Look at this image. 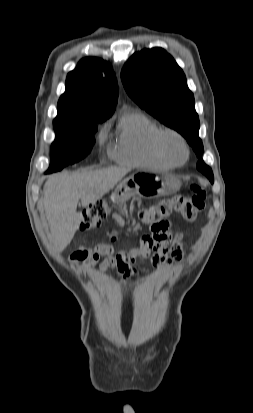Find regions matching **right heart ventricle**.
I'll list each match as a JSON object with an SVG mask.
<instances>
[{"mask_svg": "<svg viewBox=\"0 0 253 413\" xmlns=\"http://www.w3.org/2000/svg\"><path fill=\"white\" fill-rule=\"evenodd\" d=\"M161 129L141 112L125 113L118 126L117 145L111 156L119 163L137 167L169 169L173 166L157 149V135Z\"/></svg>", "mask_w": 253, "mask_h": 413, "instance_id": "e07e8e85", "label": "right heart ventricle"}]
</instances>
